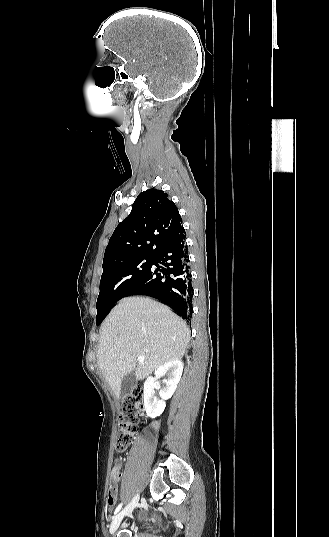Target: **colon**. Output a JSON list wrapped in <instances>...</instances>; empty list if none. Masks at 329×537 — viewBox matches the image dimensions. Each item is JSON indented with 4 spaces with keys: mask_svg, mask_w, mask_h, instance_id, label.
<instances>
[{
    "mask_svg": "<svg viewBox=\"0 0 329 537\" xmlns=\"http://www.w3.org/2000/svg\"><path fill=\"white\" fill-rule=\"evenodd\" d=\"M143 403V391L141 388H134L124 398L123 408L121 412L120 429L115 437V450L124 452L130 446L133 436L137 430L139 423V414ZM114 491V487H110L109 495Z\"/></svg>",
    "mask_w": 329,
    "mask_h": 537,
    "instance_id": "obj_1",
    "label": "colon"
}]
</instances>
